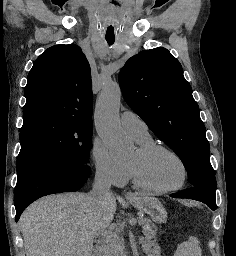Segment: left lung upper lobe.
Instances as JSON below:
<instances>
[{
	"instance_id": "5c2ea615",
	"label": "left lung upper lobe",
	"mask_w": 236,
	"mask_h": 256,
	"mask_svg": "<svg viewBox=\"0 0 236 256\" xmlns=\"http://www.w3.org/2000/svg\"><path fill=\"white\" fill-rule=\"evenodd\" d=\"M119 83L127 104L179 156L188 182L216 188L205 126L179 61L162 47L141 51L125 63Z\"/></svg>"
}]
</instances>
